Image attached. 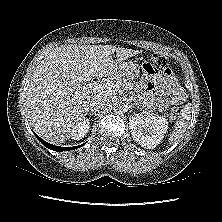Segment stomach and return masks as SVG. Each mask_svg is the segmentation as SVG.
<instances>
[{
    "instance_id": "obj_1",
    "label": "stomach",
    "mask_w": 222,
    "mask_h": 222,
    "mask_svg": "<svg viewBox=\"0 0 222 222\" xmlns=\"http://www.w3.org/2000/svg\"><path fill=\"white\" fill-rule=\"evenodd\" d=\"M119 75L127 80H133L140 76V67L137 63H123L119 71Z\"/></svg>"
}]
</instances>
